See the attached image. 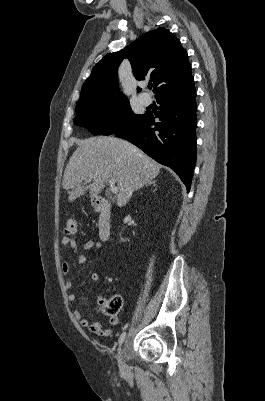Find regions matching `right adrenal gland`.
<instances>
[{
  "mask_svg": "<svg viewBox=\"0 0 265 401\" xmlns=\"http://www.w3.org/2000/svg\"><path fill=\"white\" fill-rule=\"evenodd\" d=\"M155 182L156 180H149V182H145L144 186H149V184H153V186H156Z\"/></svg>",
  "mask_w": 265,
  "mask_h": 401,
  "instance_id": "obj_1",
  "label": "right adrenal gland"
}]
</instances>
